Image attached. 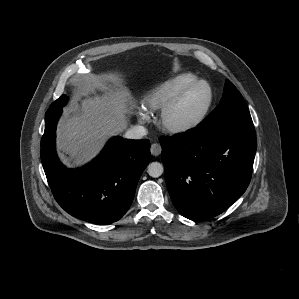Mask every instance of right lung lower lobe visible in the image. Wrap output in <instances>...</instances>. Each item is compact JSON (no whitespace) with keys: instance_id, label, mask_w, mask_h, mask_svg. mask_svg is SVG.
I'll return each mask as SVG.
<instances>
[{"instance_id":"98d812e1","label":"right lung lower lobe","mask_w":299,"mask_h":299,"mask_svg":"<svg viewBox=\"0 0 299 299\" xmlns=\"http://www.w3.org/2000/svg\"><path fill=\"white\" fill-rule=\"evenodd\" d=\"M62 108H49L41 139V161L58 204L70 215L95 224L119 220L130 207L138 180L151 160L148 140L113 137L86 166L67 169L55 149Z\"/></svg>"}]
</instances>
